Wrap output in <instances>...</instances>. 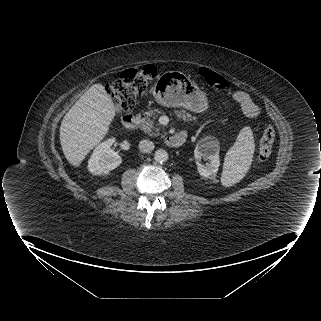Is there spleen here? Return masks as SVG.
<instances>
[{"instance_id":"1","label":"spleen","mask_w":321,"mask_h":321,"mask_svg":"<svg viewBox=\"0 0 321 321\" xmlns=\"http://www.w3.org/2000/svg\"><path fill=\"white\" fill-rule=\"evenodd\" d=\"M254 149L252 130L246 126L239 132L236 142L225 155L221 178L224 186H231L244 177L251 165Z\"/></svg>"}]
</instances>
